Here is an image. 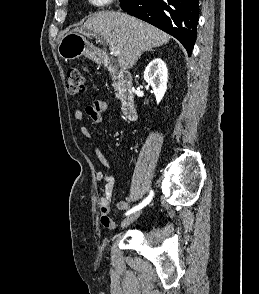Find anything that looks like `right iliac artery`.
I'll return each instance as SVG.
<instances>
[{"label":"right iliac artery","instance_id":"obj_1","mask_svg":"<svg viewBox=\"0 0 259 294\" xmlns=\"http://www.w3.org/2000/svg\"><path fill=\"white\" fill-rule=\"evenodd\" d=\"M153 194H154V193H153V191L151 190L150 193H149V195H148V197H146V199H144L140 204H138V205H136L135 207H133L132 209H130V210L126 213V215H129V214H131V213H133V212H135V211H137V210L143 208L144 206H146V205L151 201V199H152V197H153Z\"/></svg>","mask_w":259,"mask_h":294}]
</instances>
